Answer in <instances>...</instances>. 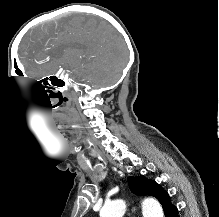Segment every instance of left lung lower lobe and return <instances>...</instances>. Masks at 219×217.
Returning a JSON list of instances; mask_svg holds the SVG:
<instances>
[{"label":"left lung lower lobe","mask_w":219,"mask_h":217,"mask_svg":"<svg viewBox=\"0 0 219 217\" xmlns=\"http://www.w3.org/2000/svg\"><path fill=\"white\" fill-rule=\"evenodd\" d=\"M165 217H179L178 209L174 205H169L164 211Z\"/></svg>","instance_id":"obj_1"}]
</instances>
